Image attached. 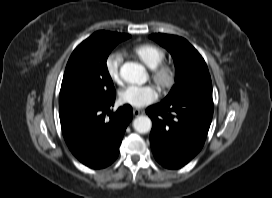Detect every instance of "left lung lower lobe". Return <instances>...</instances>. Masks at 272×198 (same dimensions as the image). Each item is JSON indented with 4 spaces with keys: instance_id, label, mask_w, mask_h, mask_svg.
Listing matches in <instances>:
<instances>
[{
    "instance_id": "left-lung-lower-lobe-1",
    "label": "left lung lower lobe",
    "mask_w": 272,
    "mask_h": 198,
    "mask_svg": "<svg viewBox=\"0 0 272 198\" xmlns=\"http://www.w3.org/2000/svg\"><path fill=\"white\" fill-rule=\"evenodd\" d=\"M152 119L150 144L155 159L164 167L187 164L203 147L213 115V100L184 97L162 101L146 109Z\"/></svg>"
}]
</instances>
